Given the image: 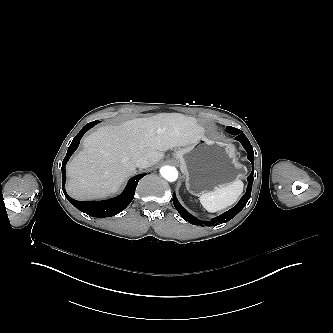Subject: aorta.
<instances>
[{
	"mask_svg": "<svg viewBox=\"0 0 333 333\" xmlns=\"http://www.w3.org/2000/svg\"><path fill=\"white\" fill-rule=\"evenodd\" d=\"M161 175L169 182H173L178 178V171L172 166H163L160 168Z\"/></svg>",
	"mask_w": 333,
	"mask_h": 333,
	"instance_id": "aorta-1",
	"label": "aorta"
}]
</instances>
